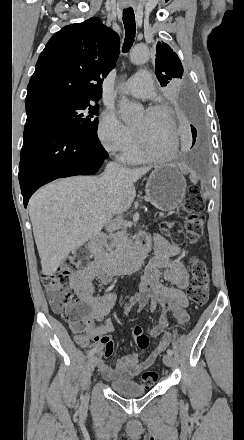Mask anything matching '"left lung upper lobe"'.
<instances>
[{
  "mask_svg": "<svg viewBox=\"0 0 244 440\" xmlns=\"http://www.w3.org/2000/svg\"><path fill=\"white\" fill-rule=\"evenodd\" d=\"M155 74L161 86H166L183 77V66L177 54L163 42L156 46Z\"/></svg>",
  "mask_w": 244,
  "mask_h": 440,
  "instance_id": "obj_1",
  "label": "left lung upper lobe"
}]
</instances>
